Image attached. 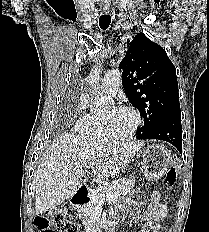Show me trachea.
Segmentation results:
<instances>
[{
  "instance_id": "obj_1",
  "label": "trachea",
  "mask_w": 209,
  "mask_h": 232,
  "mask_svg": "<svg viewBox=\"0 0 209 232\" xmlns=\"http://www.w3.org/2000/svg\"><path fill=\"white\" fill-rule=\"evenodd\" d=\"M111 23V17L110 15H101L99 18V26L102 30L108 29L109 25Z\"/></svg>"
}]
</instances>
